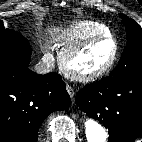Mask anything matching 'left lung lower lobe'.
I'll return each mask as SVG.
<instances>
[{"mask_svg": "<svg viewBox=\"0 0 142 142\" xmlns=\"http://www.w3.org/2000/svg\"><path fill=\"white\" fill-rule=\"evenodd\" d=\"M75 102L108 128V142H131L142 135V72L88 84L76 94Z\"/></svg>", "mask_w": 142, "mask_h": 142, "instance_id": "1", "label": "left lung lower lobe"}]
</instances>
